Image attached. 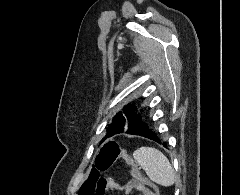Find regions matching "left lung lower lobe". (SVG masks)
Segmentation results:
<instances>
[{
	"instance_id": "obj_1",
	"label": "left lung lower lobe",
	"mask_w": 240,
	"mask_h": 195,
	"mask_svg": "<svg viewBox=\"0 0 240 195\" xmlns=\"http://www.w3.org/2000/svg\"><path fill=\"white\" fill-rule=\"evenodd\" d=\"M125 130L129 134L144 136V137L152 139L158 143H161L158 136L153 131H151L146 124L141 122L140 115L137 117V119L134 122H132L130 125L126 126ZM164 146H166V145L164 144Z\"/></svg>"
}]
</instances>
